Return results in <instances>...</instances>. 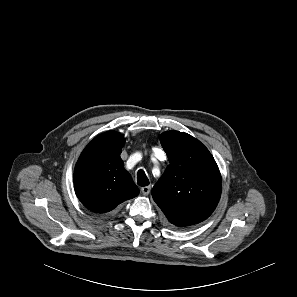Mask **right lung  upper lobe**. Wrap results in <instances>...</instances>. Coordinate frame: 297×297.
<instances>
[{
    "label": "right lung upper lobe",
    "instance_id": "1",
    "mask_svg": "<svg viewBox=\"0 0 297 297\" xmlns=\"http://www.w3.org/2000/svg\"><path fill=\"white\" fill-rule=\"evenodd\" d=\"M124 142L118 132L102 133L87 145L75 166L76 195L96 213L109 212L139 194L120 157Z\"/></svg>",
    "mask_w": 297,
    "mask_h": 297
}]
</instances>
